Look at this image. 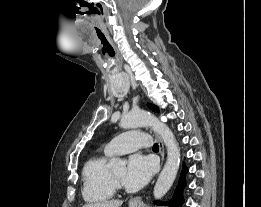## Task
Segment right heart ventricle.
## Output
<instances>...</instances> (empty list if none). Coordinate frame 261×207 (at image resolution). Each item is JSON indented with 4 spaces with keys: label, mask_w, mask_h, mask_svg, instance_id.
Here are the masks:
<instances>
[{
    "label": "right heart ventricle",
    "mask_w": 261,
    "mask_h": 207,
    "mask_svg": "<svg viewBox=\"0 0 261 207\" xmlns=\"http://www.w3.org/2000/svg\"><path fill=\"white\" fill-rule=\"evenodd\" d=\"M112 155L107 151L90 158L82 170V196L86 202L98 203L111 199L115 188L110 179L109 159Z\"/></svg>",
    "instance_id": "obj_1"
}]
</instances>
